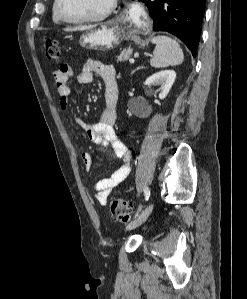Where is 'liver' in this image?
Segmentation results:
<instances>
[{
  "instance_id": "1",
  "label": "liver",
  "mask_w": 247,
  "mask_h": 299,
  "mask_svg": "<svg viewBox=\"0 0 247 299\" xmlns=\"http://www.w3.org/2000/svg\"><path fill=\"white\" fill-rule=\"evenodd\" d=\"M93 25H83V26H77V27H71V28H66L65 31L73 32V31H84V30H89Z\"/></svg>"
}]
</instances>
